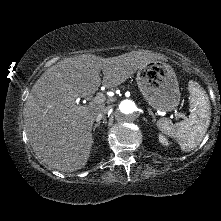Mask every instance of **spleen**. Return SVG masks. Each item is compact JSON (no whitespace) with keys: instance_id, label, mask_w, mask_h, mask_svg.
<instances>
[{"instance_id":"3e777b00","label":"spleen","mask_w":221,"mask_h":221,"mask_svg":"<svg viewBox=\"0 0 221 221\" xmlns=\"http://www.w3.org/2000/svg\"><path fill=\"white\" fill-rule=\"evenodd\" d=\"M191 113L184 121L173 124L162 118L157 127L175 139L184 152L194 150L202 141L210 123V102L206 91L195 81H189Z\"/></svg>"}]
</instances>
